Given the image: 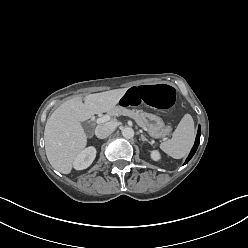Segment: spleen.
<instances>
[{
    "instance_id": "3e777b00",
    "label": "spleen",
    "mask_w": 248,
    "mask_h": 248,
    "mask_svg": "<svg viewBox=\"0 0 248 248\" xmlns=\"http://www.w3.org/2000/svg\"><path fill=\"white\" fill-rule=\"evenodd\" d=\"M195 139L194 121L191 115L185 114L175 129L171 139L162 142L160 148L167 155L180 159L191 150Z\"/></svg>"
}]
</instances>
